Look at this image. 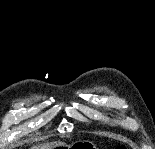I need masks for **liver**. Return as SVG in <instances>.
I'll list each match as a JSON object with an SVG mask.
<instances>
[{"mask_svg":"<svg viewBox=\"0 0 155 149\" xmlns=\"http://www.w3.org/2000/svg\"><path fill=\"white\" fill-rule=\"evenodd\" d=\"M64 145L65 144L63 142H51L33 146L32 149H54L57 147H62Z\"/></svg>","mask_w":155,"mask_h":149,"instance_id":"1","label":"liver"}]
</instances>
